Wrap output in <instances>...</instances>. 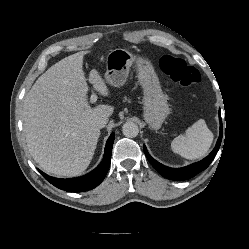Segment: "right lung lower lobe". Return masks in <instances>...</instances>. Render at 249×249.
Listing matches in <instances>:
<instances>
[{"instance_id": "obj_1", "label": "right lung lower lobe", "mask_w": 249, "mask_h": 249, "mask_svg": "<svg viewBox=\"0 0 249 249\" xmlns=\"http://www.w3.org/2000/svg\"><path fill=\"white\" fill-rule=\"evenodd\" d=\"M113 141H114V133L110 135V137L106 142L104 158L102 162L93 171L82 177L59 179V178L50 177L40 170L39 172L48 182H50L57 188L65 190L67 192H83L91 190L96 186H98L103 181V179L107 174V171L110 166Z\"/></svg>"}]
</instances>
